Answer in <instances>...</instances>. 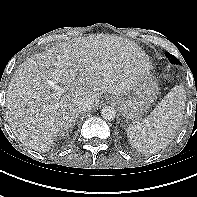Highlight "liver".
Masks as SVG:
<instances>
[{
	"label": "liver",
	"mask_w": 197,
	"mask_h": 197,
	"mask_svg": "<svg viewBox=\"0 0 197 197\" xmlns=\"http://www.w3.org/2000/svg\"><path fill=\"white\" fill-rule=\"evenodd\" d=\"M151 69L146 53L121 37L97 34L57 44L15 72L6 97L8 124L26 147L46 152L75 125L78 101L90 99L94 107L103 93L127 95ZM49 81L63 86L61 96Z\"/></svg>",
	"instance_id": "liver-1"
}]
</instances>
